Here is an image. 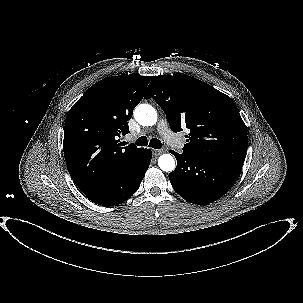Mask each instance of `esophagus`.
Masks as SVG:
<instances>
[{"label":"esophagus","mask_w":303,"mask_h":303,"mask_svg":"<svg viewBox=\"0 0 303 303\" xmlns=\"http://www.w3.org/2000/svg\"><path fill=\"white\" fill-rule=\"evenodd\" d=\"M163 152H164L163 149H155V150H153V154H154L155 156H159V155H161Z\"/></svg>","instance_id":"1"}]
</instances>
